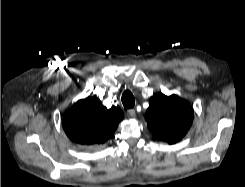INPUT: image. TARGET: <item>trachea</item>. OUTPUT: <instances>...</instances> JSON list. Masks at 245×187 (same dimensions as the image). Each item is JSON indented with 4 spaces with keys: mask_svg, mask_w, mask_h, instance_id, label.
Wrapping results in <instances>:
<instances>
[{
    "mask_svg": "<svg viewBox=\"0 0 245 187\" xmlns=\"http://www.w3.org/2000/svg\"><path fill=\"white\" fill-rule=\"evenodd\" d=\"M121 100H122V104H123L124 108H126V109H131L135 105L134 96L130 91H125L122 94Z\"/></svg>",
    "mask_w": 245,
    "mask_h": 187,
    "instance_id": "3493384b",
    "label": "trachea"
}]
</instances>
